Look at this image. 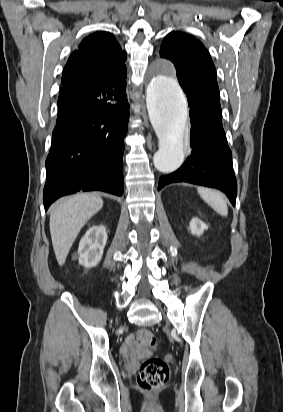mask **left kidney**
<instances>
[{
    "label": "left kidney",
    "instance_id": "1",
    "mask_svg": "<svg viewBox=\"0 0 283 412\" xmlns=\"http://www.w3.org/2000/svg\"><path fill=\"white\" fill-rule=\"evenodd\" d=\"M189 228L191 233L196 236L202 235L204 230L208 229L207 225L198 218H193L190 221Z\"/></svg>",
    "mask_w": 283,
    "mask_h": 412
}]
</instances>
